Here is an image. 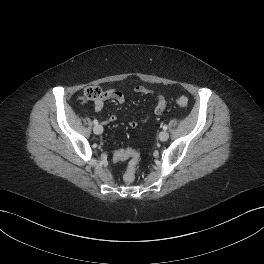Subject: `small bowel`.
Here are the masks:
<instances>
[{
  "label": "small bowel",
  "mask_w": 264,
  "mask_h": 264,
  "mask_svg": "<svg viewBox=\"0 0 264 264\" xmlns=\"http://www.w3.org/2000/svg\"><path fill=\"white\" fill-rule=\"evenodd\" d=\"M133 92L136 94H142V95H153L156 97V104L154 106L153 112L156 115H161L163 114V112L165 111L166 107H167V101L165 99V97L162 95V93L154 91L152 89H149L145 86H136L133 89ZM126 99L125 96V92L123 88H110L107 89L103 92V95L101 98L97 99L94 101L93 105H94V110L96 112L100 111L103 106L105 101L107 100H114L117 101L119 103H123ZM117 119V117L115 115H111L108 119L105 120V123H110L113 122ZM131 127L136 128L139 123L135 120L130 122ZM121 150L116 151L113 154V160L115 162L124 160L122 158L119 157V153Z\"/></svg>",
  "instance_id": "1"
}]
</instances>
